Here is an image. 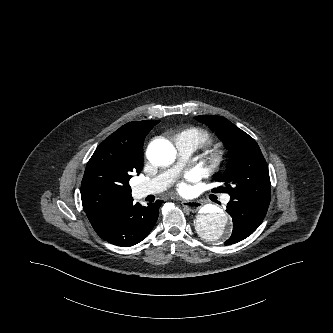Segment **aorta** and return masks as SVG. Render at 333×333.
I'll return each mask as SVG.
<instances>
[{"mask_svg": "<svg viewBox=\"0 0 333 333\" xmlns=\"http://www.w3.org/2000/svg\"><path fill=\"white\" fill-rule=\"evenodd\" d=\"M175 155L176 151L172 144L162 139L150 143L146 151L147 159L158 166L171 164ZM196 228L202 237L213 242L223 241L230 234L227 214L216 207L198 212Z\"/></svg>", "mask_w": 333, "mask_h": 333, "instance_id": "obj_1", "label": "aorta"}]
</instances>
